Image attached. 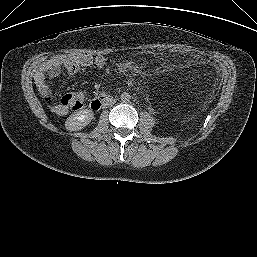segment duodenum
I'll return each instance as SVG.
<instances>
[{
  "mask_svg": "<svg viewBox=\"0 0 257 257\" xmlns=\"http://www.w3.org/2000/svg\"><path fill=\"white\" fill-rule=\"evenodd\" d=\"M114 97L107 93H101L97 95L90 103V108L94 111H97L104 106H107L113 103Z\"/></svg>",
  "mask_w": 257,
  "mask_h": 257,
  "instance_id": "obj_1",
  "label": "duodenum"
}]
</instances>
